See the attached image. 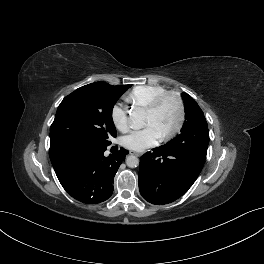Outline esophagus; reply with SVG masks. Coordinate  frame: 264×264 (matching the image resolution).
<instances>
[{
  "instance_id": "obj_1",
  "label": "esophagus",
  "mask_w": 264,
  "mask_h": 264,
  "mask_svg": "<svg viewBox=\"0 0 264 264\" xmlns=\"http://www.w3.org/2000/svg\"><path fill=\"white\" fill-rule=\"evenodd\" d=\"M130 154H134L136 156H141V154L140 153H137V152H130Z\"/></svg>"
}]
</instances>
